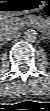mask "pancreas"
I'll return each mask as SVG.
<instances>
[{
	"label": "pancreas",
	"instance_id": "pancreas-1",
	"mask_svg": "<svg viewBox=\"0 0 50 111\" xmlns=\"http://www.w3.org/2000/svg\"><path fill=\"white\" fill-rule=\"evenodd\" d=\"M28 22V19L11 18L3 22L4 28H21Z\"/></svg>",
	"mask_w": 50,
	"mask_h": 111
}]
</instances>
